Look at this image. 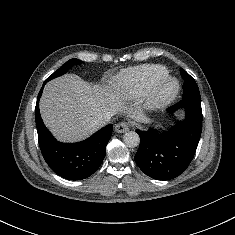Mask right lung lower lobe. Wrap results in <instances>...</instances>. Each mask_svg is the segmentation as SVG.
Wrapping results in <instances>:
<instances>
[{
	"label": "right lung lower lobe",
	"mask_w": 235,
	"mask_h": 235,
	"mask_svg": "<svg viewBox=\"0 0 235 235\" xmlns=\"http://www.w3.org/2000/svg\"><path fill=\"white\" fill-rule=\"evenodd\" d=\"M45 84L46 82L43 86ZM42 91L43 87L38 94L35 118L39 146L46 163L56 174L68 180L89 177L98 169L105 157L113 125L105 126L82 142L72 144L58 142L45 127L40 116L39 99Z\"/></svg>",
	"instance_id": "1"
}]
</instances>
